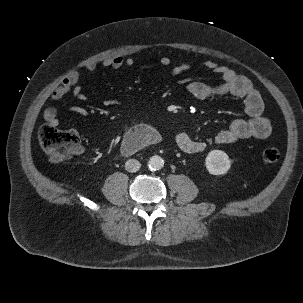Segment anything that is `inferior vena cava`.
<instances>
[{"label":"inferior vena cava","instance_id":"obj_1","mask_svg":"<svg viewBox=\"0 0 303 303\" xmlns=\"http://www.w3.org/2000/svg\"><path fill=\"white\" fill-rule=\"evenodd\" d=\"M140 167H141V164L136 159H129L125 163V169L128 172H136V171H138L140 169Z\"/></svg>","mask_w":303,"mask_h":303}]
</instances>
